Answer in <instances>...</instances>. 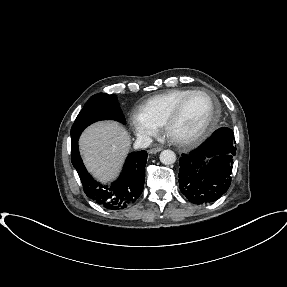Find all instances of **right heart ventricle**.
Here are the masks:
<instances>
[{
	"label": "right heart ventricle",
	"mask_w": 287,
	"mask_h": 287,
	"mask_svg": "<svg viewBox=\"0 0 287 287\" xmlns=\"http://www.w3.org/2000/svg\"><path fill=\"white\" fill-rule=\"evenodd\" d=\"M192 89H173L162 94L155 95L139 107V111L150 121L163 125L166 117L170 114L176 104Z\"/></svg>",
	"instance_id": "right-heart-ventricle-1"
}]
</instances>
